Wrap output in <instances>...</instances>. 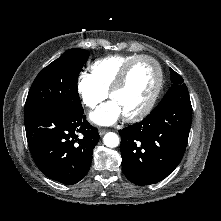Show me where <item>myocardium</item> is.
<instances>
[{
  "mask_svg": "<svg viewBox=\"0 0 221 221\" xmlns=\"http://www.w3.org/2000/svg\"><path fill=\"white\" fill-rule=\"evenodd\" d=\"M141 60L150 61L155 66L156 71H157V82H156V86L154 88V91H153L151 97L149 98L148 102L145 104V106L139 112H137L135 114L124 116V119L127 122H137V121L145 118L151 112L152 108L154 107V105H155V103L161 93L162 87H163L164 76H163V70H162L160 63L152 56L138 55L135 58H133L132 60H130L122 68V70L118 74L115 82L113 83L112 87L110 88V90L108 92L109 98H111V96L115 92L119 91L124 86L131 69L133 68V66L137 62H139Z\"/></svg>",
  "mask_w": 221,
  "mask_h": 221,
  "instance_id": "myocardium-1",
  "label": "myocardium"
}]
</instances>
